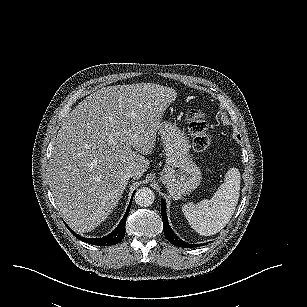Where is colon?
Listing matches in <instances>:
<instances>
[{
    "label": "colon",
    "instance_id": "colon-1",
    "mask_svg": "<svg viewBox=\"0 0 307 307\" xmlns=\"http://www.w3.org/2000/svg\"><path fill=\"white\" fill-rule=\"evenodd\" d=\"M187 119L194 149L198 152L206 151L212 144V134L205 112L200 109H192L188 112Z\"/></svg>",
    "mask_w": 307,
    "mask_h": 307
}]
</instances>
